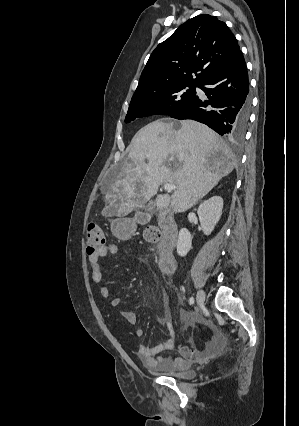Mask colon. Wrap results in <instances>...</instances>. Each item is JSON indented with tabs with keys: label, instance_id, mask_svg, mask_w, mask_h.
Masks as SVG:
<instances>
[{
	"label": "colon",
	"instance_id": "colon-1",
	"mask_svg": "<svg viewBox=\"0 0 299 426\" xmlns=\"http://www.w3.org/2000/svg\"><path fill=\"white\" fill-rule=\"evenodd\" d=\"M144 238L148 242H156L160 238V233L155 227H148L144 231ZM105 235L103 230L95 224H90L86 230V246L88 255L93 254L98 248L105 245Z\"/></svg>",
	"mask_w": 299,
	"mask_h": 426
}]
</instances>
